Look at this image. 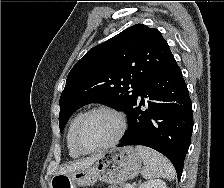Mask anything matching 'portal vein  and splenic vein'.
Instances as JSON below:
<instances>
[{
	"instance_id": "portal-vein-and-splenic-vein-1",
	"label": "portal vein and splenic vein",
	"mask_w": 224,
	"mask_h": 188,
	"mask_svg": "<svg viewBox=\"0 0 224 188\" xmlns=\"http://www.w3.org/2000/svg\"><path fill=\"white\" fill-rule=\"evenodd\" d=\"M126 188H134V187L131 184H127Z\"/></svg>"
}]
</instances>
